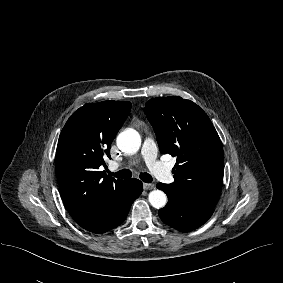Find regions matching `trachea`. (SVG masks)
I'll use <instances>...</instances> for the list:
<instances>
[{"mask_svg": "<svg viewBox=\"0 0 283 283\" xmlns=\"http://www.w3.org/2000/svg\"><path fill=\"white\" fill-rule=\"evenodd\" d=\"M110 175L118 177V178L129 179V178L132 177V172L130 170H128V169H123V170H120V171H118L116 173L110 172ZM139 178L143 182H146V183H150L153 180L152 176L150 174H148V173H141L139 175Z\"/></svg>", "mask_w": 283, "mask_h": 283, "instance_id": "3493384b", "label": "trachea"}]
</instances>
